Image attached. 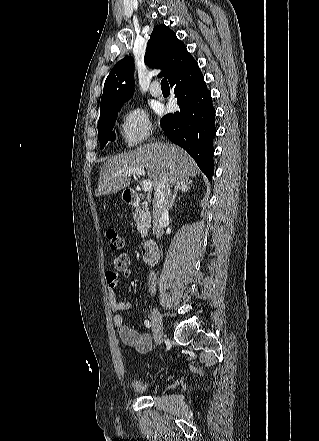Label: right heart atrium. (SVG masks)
Returning a JSON list of instances; mask_svg holds the SVG:
<instances>
[{
    "instance_id": "right-heart-atrium-1",
    "label": "right heart atrium",
    "mask_w": 319,
    "mask_h": 441,
    "mask_svg": "<svg viewBox=\"0 0 319 441\" xmlns=\"http://www.w3.org/2000/svg\"><path fill=\"white\" fill-rule=\"evenodd\" d=\"M153 131L146 111L141 107L128 109L121 117V133L127 147H136L149 139Z\"/></svg>"
}]
</instances>
